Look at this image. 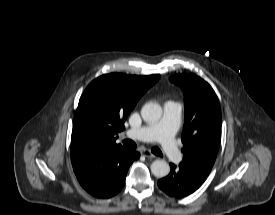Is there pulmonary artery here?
I'll return each mask as SVG.
<instances>
[{"label":"pulmonary artery","instance_id":"e3ab8cb5","mask_svg":"<svg viewBox=\"0 0 275 215\" xmlns=\"http://www.w3.org/2000/svg\"><path fill=\"white\" fill-rule=\"evenodd\" d=\"M181 114L180 103L167 101L163 106V116L158 122L137 129H129L126 135L145 142L159 141L168 160L175 163L181 159V152L174 139L179 128Z\"/></svg>","mask_w":275,"mask_h":215}]
</instances>
